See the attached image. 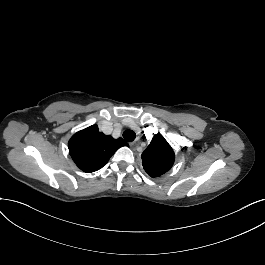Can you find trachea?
Returning <instances> with one entry per match:
<instances>
[{
  "label": "trachea",
  "mask_w": 265,
  "mask_h": 265,
  "mask_svg": "<svg viewBox=\"0 0 265 265\" xmlns=\"http://www.w3.org/2000/svg\"><path fill=\"white\" fill-rule=\"evenodd\" d=\"M123 137L126 141L132 142L136 138V134L132 130H126L123 133Z\"/></svg>",
  "instance_id": "3493384b"
}]
</instances>
